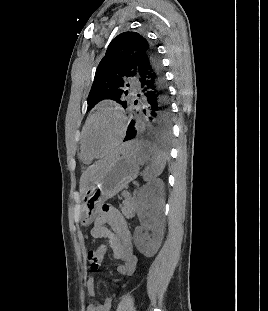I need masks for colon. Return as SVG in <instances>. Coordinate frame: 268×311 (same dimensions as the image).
<instances>
[{
	"mask_svg": "<svg viewBox=\"0 0 268 311\" xmlns=\"http://www.w3.org/2000/svg\"><path fill=\"white\" fill-rule=\"evenodd\" d=\"M106 253V247L104 245H100L95 250H90L88 252V262L89 267L92 271H97L100 268V265L104 259Z\"/></svg>",
	"mask_w": 268,
	"mask_h": 311,
	"instance_id": "colon-1",
	"label": "colon"
}]
</instances>
